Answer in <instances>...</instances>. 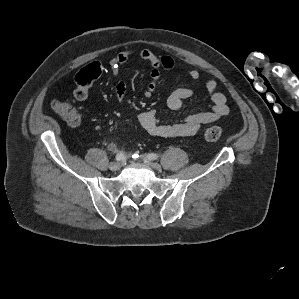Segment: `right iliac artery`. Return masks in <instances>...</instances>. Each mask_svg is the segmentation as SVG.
I'll list each match as a JSON object with an SVG mask.
<instances>
[{
	"label": "right iliac artery",
	"instance_id": "obj_1",
	"mask_svg": "<svg viewBox=\"0 0 299 299\" xmlns=\"http://www.w3.org/2000/svg\"><path fill=\"white\" fill-rule=\"evenodd\" d=\"M125 158V155L123 152H119L117 155H116V160L117 161H121Z\"/></svg>",
	"mask_w": 299,
	"mask_h": 299
}]
</instances>
